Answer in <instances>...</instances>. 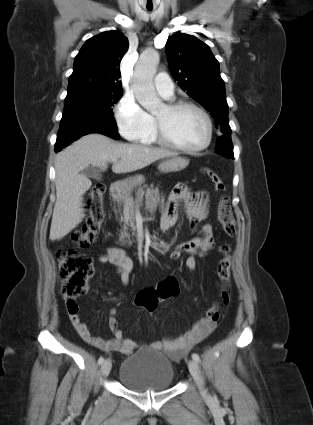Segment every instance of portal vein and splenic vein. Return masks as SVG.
Segmentation results:
<instances>
[{
    "label": "portal vein and splenic vein",
    "mask_w": 313,
    "mask_h": 425,
    "mask_svg": "<svg viewBox=\"0 0 313 425\" xmlns=\"http://www.w3.org/2000/svg\"><path fill=\"white\" fill-rule=\"evenodd\" d=\"M112 162H113V163H116V162H117V160L113 159V160H112Z\"/></svg>",
    "instance_id": "1"
}]
</instances>
